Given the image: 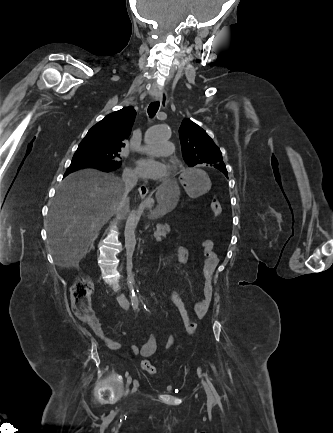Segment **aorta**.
<instances>
[{
	"label": "aorta",
	"mask_w": 333,
	"mask_h": 433,
	"mask_svg": "<svg viewBox=\"0 0 333 433\" xmlns=\"http://www.w3.org/2000/svg\"><path fill=\"white\" fill-rule=\"evenodd\" d=\"M145 138L148 143H164L170 140L171 132L167 127L156 125L146 131ZM136 226V210L133 209L127 217L124 231L127 258H131L135 250Z\"/></svg>",
	"instance_id": "obj_1"
}]
</instances>
